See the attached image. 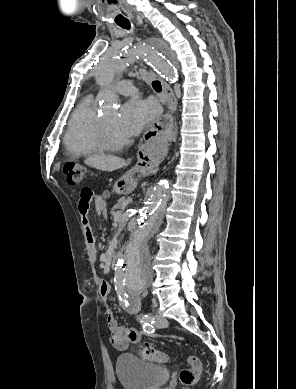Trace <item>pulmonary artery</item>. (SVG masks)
<instances>
[{
	"mask_svg": "<svg viewBox=\"0 0 296 389\" xmlns=\"http://www.w3.org/2000/svg\"><path fill=\"white\" fill-rule=\"evenodd\" d=\"M113 91L120 93L122 95H134L137 93L136 86L129 80H121L114 83L110 87Z\"/></svg>",
	"mask_w": 296,
	"mask_h": 389,
	"instance_id": "obj_1",
	"label": "pulmonary artery"
}]
</instances>
